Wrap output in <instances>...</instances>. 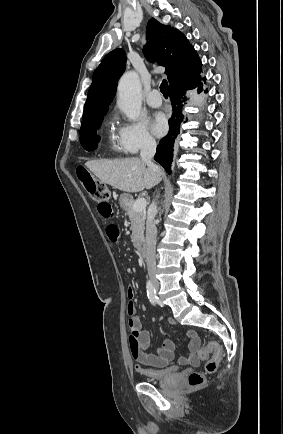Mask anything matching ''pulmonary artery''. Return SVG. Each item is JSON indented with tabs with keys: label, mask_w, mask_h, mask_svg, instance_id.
<instances>
[{
	"label": "pulmonary artery",
	"mask_w": 283,
	"mask_h": 434,
	"mask_svg": "<svg viewBox=\"0 0 283 434\" xmlns=\"http://www.w3.org/2000/svg\"><path fill=\"white\" fill-rule=\"evenodd\" d=\"M146 102L150 107H160L162 104V98L160 96V93L158 90L154 89L149 92V94L146 97Z\"/></svg>",
	"instance_id": "1"
}]
</instances>
